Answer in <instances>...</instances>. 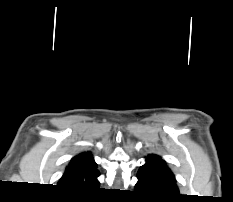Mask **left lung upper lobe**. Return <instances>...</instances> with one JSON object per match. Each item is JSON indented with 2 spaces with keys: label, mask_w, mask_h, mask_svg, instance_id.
Segmentation results:
<instances>
[{
  "label": "left lung upper lobe",
  "mask_w": 233,
  "mask_h": 202,
  "mask_svg": "<svg viewBox=\"0 0 233 202\" xmlns=\"http://www.w3.org/2000/svg\"><path fill=\"white\" fill-rule=\"evenodd\" d=\"M142 169H146L155 176L166 178L176 185L175 176L171 169L167 166L166 162L157 155H148L146 163L140 167L139 171Z\"/></svg>",
  "instance_id": "left-lung-upper-lobe-1"
}]
</instances>
